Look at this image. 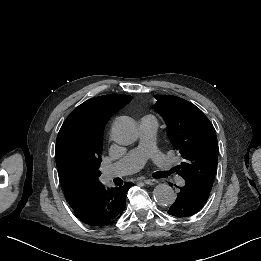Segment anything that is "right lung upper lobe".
Listing matches in <instances>:
<instances>
[{"label": "right lung upper lobe", "instance_id": "cb5924a9", "mask_svg": "<svg viewBox=\"0 0 261 261\" xmlns=\"http://www.w3.org/2000/svg\"><path fill=\"white\" fill-rule=\"evenodd\" d=\"M131 99L129 95L109 94L89 99L74 109L58 133L56 159L71 143L82 142L94 148L103 147V131L107 121Z\"/></svg>", "mask_w": 261, "mask_h": 261}]
</instances>
